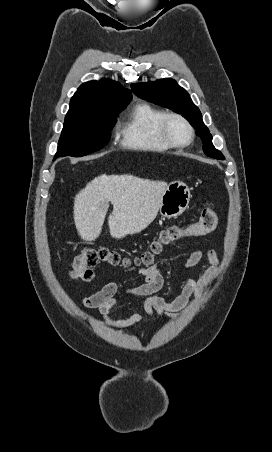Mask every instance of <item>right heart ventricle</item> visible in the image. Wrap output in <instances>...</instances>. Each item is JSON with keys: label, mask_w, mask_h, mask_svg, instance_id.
<instances>
[{"label": "right heart ventricle", "mask_w": 272, "mask_h": 452, "mask_svg": "<svg viewBox=\"0 0 272 452\" xmlns=\"http://www.w3.org/2000/svg\"><path fill=\"white\" fill-rule=\"evenodd\" d=\"M166 112L149 104L136 105L120 128L122 146L136 151L162 152L172 147L160 132Z\"/></svg>", "instance_id": "e07e8e85"}]
</instances>
